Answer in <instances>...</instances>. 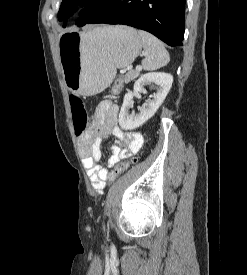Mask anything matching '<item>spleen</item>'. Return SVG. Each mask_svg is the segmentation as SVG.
Instances as JSON below:
<instances>
[{"instance_id": "1", "label": "spleen", "mask_w": 247, "mask_h": 275, "mask_svg": "<svg viewBox=\"0 0 247 275\" xmlns=\"http://www.w3.org/2000/svg\"><path fill=\"white\" fill-rule=\"evenodd\" d=\"M138 34L142 38L145 51V58L142 60L143 69L152 71L167 65L170 57L164 44L146 31L139 30Z\"/></svg>"}]
</instances>
